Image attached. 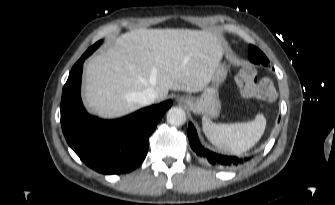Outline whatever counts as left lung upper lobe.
<instances>
[{"label": "left lung upper lobe", "instance_id": "5c2ea615", "mask_svg": "<svg viewBox=\"0 0 335 205\" xmlns=\"http://www.w3.org/2000/svg\"><path fill=\"white\" fill-rule=\"evenodd\" d=\"M249 60L255 64L268 65L269 60L267 57L255 46L250 45L248 51Z\"/></svg>", "mask_w": 335, "mask_h": 205}]
</instances>
